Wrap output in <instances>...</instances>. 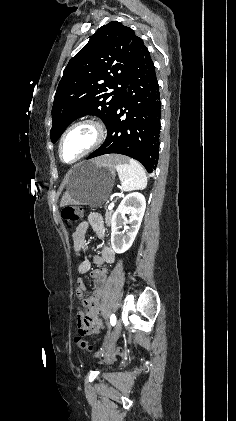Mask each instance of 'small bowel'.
I'll return each instance as SVG.
<instances>
[{
	"label": "small bowel",
	"mask_w": 236,
	"mask_h": 421,
	"mask_svg": "<svg viewBox=\"0 0 236 421\" xmlns=\"http://www.w3.org/2000/svg\"><path fill=\"white\" fill-rule=\"evenodd\" d=\"M89 227H91L99 237L105 236V227H104V223H103L101 215L97 213H92L86 221L82 222L77 227L76 231L74 232L73 239H74V245L76 249H79L83 246L86 231ZM86 269H87V266H83V270H86ZM84 291H85V286L83 282H78L77 287H76V294L81 297ZM79 321L82 322L81 326H83L84 324H83L82 317H79ZM97 327L98 326L96 325L92 329L95 330L97 329Z\"/></svg>",
	"instance_id": "c3829d8e"
}]
</instances>
